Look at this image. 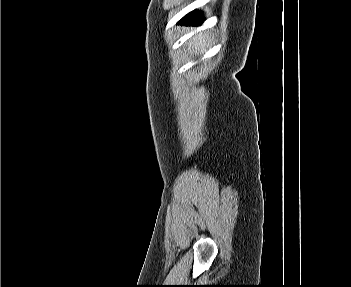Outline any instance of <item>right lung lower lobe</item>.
I'll return each mask as SVG.
<instances>
[{
  "mask_svg": "<svg viewBox=\"0 0 351 287\" xmlns=\"http://www.w3.org/2000/svg\"><path fill=\"white\" fill-rule=\"evenodd\" d=\"M202 22L203 19L199 12H191L180 21V23L186 25H200Z\"/></svg>",
  "mask_w": 351,
  "mask_h": 287,
  "instance_id": "98d812e1",
  "label": "right lung lower lobe"
}]
</instances>
